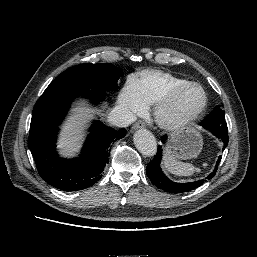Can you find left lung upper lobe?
Segmentation results:
<instances>
[{
	"label": "left lung upper lobe",
	"mask_w": 257,
	"mask_h": 257,
	"mask_svg": "<svg viewBox=\"0 0 257 257\" xmlns=\"http://www.w3.org/2000/svg\"><path fill=\"white\" fill-rule=\"evenodd\" d=\"M200 125L212 128L226 127L225 113L219 106H216L215 109L201 121Z\"/></svg>",
	"instance_id": "1"
}]
</instances>
